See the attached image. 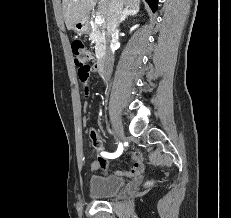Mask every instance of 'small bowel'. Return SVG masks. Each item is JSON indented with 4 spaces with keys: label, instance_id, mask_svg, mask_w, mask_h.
I'll return each mask as SVG.
<instances>
[{
    "label": "small bowel",
    "instance_id": "c3829d8e",
    "mask_svg": "<svg viewBox=\"0 0 231 218\" xmlns=\"http://www.w3.org/2000/svg\"><path fill=\"white\" fill-rule=\"evenodd\" d=\"M98 65L96 63H93L92 66H81V69H78V75L79 80L82 86L83 91H88V79L90 74H92V71L94 68H96ZM90 139L92 142V145L94 149L97 152V157L95 160L91 162V168L93 170H109V162L107 160V157H105L102 153L104 152V146L103 141L100 138V135L95 129L90 130ZM118 157V156H117ZM130 159L132 160V165L128 167L127 169H120L115 172L118 176H138L144 167V160L141 155H139L136 152H133L130 154Z\"/></svg>",
    "mask_w": 231,
    "mask_h": 218
}]
</instances>
